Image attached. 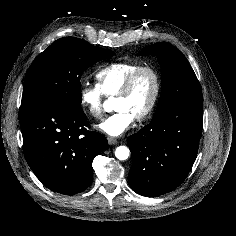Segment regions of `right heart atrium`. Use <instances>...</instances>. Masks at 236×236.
Wrapping results in <instances>:
<instances>
[{
    "mask_svg": "<svg viewBox=\"0 0 236 236\" xmlns=\"http://www.w3.org/2000/svg\"><path fill=\"white\" fill-rule=\"evenodd\" d=\"M80 101L88 113L95 117L101 118L104 112V95L98 86L84 84L80 88Z\"/></svg>",
    "mask_w": 236,
    "mask_h": 236,
    "instance_id": "d8ad5b80",
    "label": "right heart atrium"
}]
</instances>
